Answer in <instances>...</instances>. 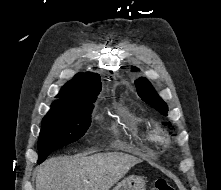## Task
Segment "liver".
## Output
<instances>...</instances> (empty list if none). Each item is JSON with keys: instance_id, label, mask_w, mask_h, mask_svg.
Instances as JSON below:
<instances>
[{"instance_id": "liver-1", "label": "liver", "mask_w": 221, "mask_h": 190, "mask_svg": "<svg viewBox=\"0 0 221 190\" xmlns=\"http://www.w3.org/2000/svg\"><path fill=\"white\" fill-rule=\"evenodd\" d=\"M141 162L123 152L53 157L37 168L36 190H109Z\"/></svg>"}]
</instances>
